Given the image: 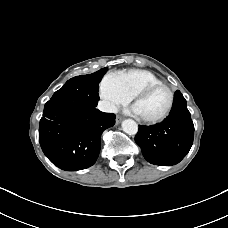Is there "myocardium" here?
Wrapping results in <instances>:
<instances>
[{
  "label": "myocardium",
  "instance_id": "obj_1",
  "mask_svg": "<svg viewBox=\"0 0 228 228\" xmlns=\"http://www.w3.org/2000/svg\"><path fill=\"white\" fill-rule=\"evenodd\" d=\"M158 88H165L168 90L169 94H170V102L168 107L166 108V110L159 116L154 117V118H144L138 115L139 119L146 123V124H157L161 121H163L164 119H166L168 117V115L170 114V112L173 109L174 106V102H175V94L173 89L164 84V83H154V84H150L147 85L145 87H143L142 89H140L134 96H133V106L135 107V105L137 104V102L139 100H141L142 98L146 97L147 95H149L152 91L158 89Z\"/></svg>",
  "mask_w": 228,
  "mask_h": 228
}]
</instances>
